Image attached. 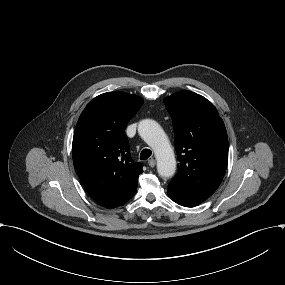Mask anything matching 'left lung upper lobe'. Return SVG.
<instances>
[{
    "instance_id": "obj_1",
    "label": "left lung upper lobe",
    "mask_w": 285,
    "mask_h": 285,
    "mask_svg": "<svg viewBox=\"0 0 285 285\" xmlns=\"http://www.w3.org/2000/svg\"><path fill=\"white\" fill-rule=\"evenodd\" d=\"M173 120L180 162L169 187L203 202L219 187L228 162V137L216 108L204 97L183 90L164 99Z\"/></svg>"
}]
</instances>
